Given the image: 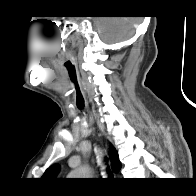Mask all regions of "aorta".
<instances>
[{
    "instance_id": "obj_1",
    "label": "aorta",
    "mask_w": 196,
    "mask_h": 196,
    "mask_svg": "<svg viewBox=\"0 0 196 196\" xmlns=\"http://www.w3.org/2000/svg\"><path fill=\"white\" fill-rule=\"evenodd\" d=\"M87 174V168L84 166L74 172L71 173V176L74 178H83V176H86Z\"/></svg>"
}]
</instances>
